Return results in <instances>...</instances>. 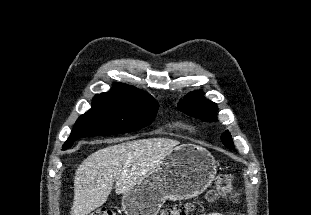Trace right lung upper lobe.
Listing matches in <instances>:
<instances>
[{
    "label": "right lung upper lobe",
    "mask_w": 311,
    "mask_h": 215,
    "mask_svg": "<svg viewBox=\"0 0 311 215\" xmlns=\"http://www.w3.org/2000/svg\"><path fill=\"white\" fill-rule=\"evenodd\" d=\"M96 96L114 97L126 100L134 101H152L154 97L147 92L139 90L133 86H129L122 83H116L113 85L110 92L97 94Z\"/></svg>",
    "instance_id": "right-lung-upper-lobe-1"
}]
</instances>
